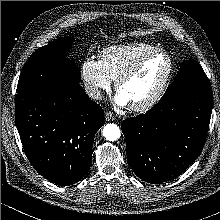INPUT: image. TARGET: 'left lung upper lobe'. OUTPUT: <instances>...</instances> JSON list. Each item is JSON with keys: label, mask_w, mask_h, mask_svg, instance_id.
Returning <instances> with one entry per match:
<instances>
[{"label": "left lung upper lobe", "mask_w": 220, "mask_h": 220, "mask_svg": "<svg viewBox=\"0 0 220 220\" xmlns=\"http://www.w3.org/2000/svg\"><path fill=\"white\" fill-rule=\"evenodd\" d=\"M202 86H210L202 67L193 59L185 60L162 98H173L189 89Z\"/></svg>", "instance_id": "1"}]
</instances>
